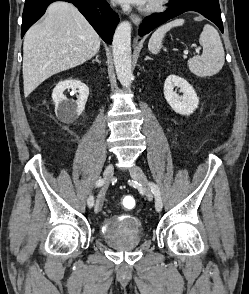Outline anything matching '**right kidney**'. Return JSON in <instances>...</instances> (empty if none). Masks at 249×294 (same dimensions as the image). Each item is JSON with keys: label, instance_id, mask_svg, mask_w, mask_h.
<instances>
[{"label": "right kidney", "instance_id": "right-kidney-1", "mask_svg": "<svg viewBox=\"0 0 249 294\" xmlns=\"http://www.w3.org/2000/svg\"><path fill=\"white\" fill-rule=\"evenodd\" d=\"M66 89L76 90L79 93L77 100L68 99L63 92ZM89 96V88L77 79L60 81L53 89L52 99L55 103V112L63 122H73L84 110Z\"/></svg>", "mask_w": 249, "mask_h": 294}]
</instances>
